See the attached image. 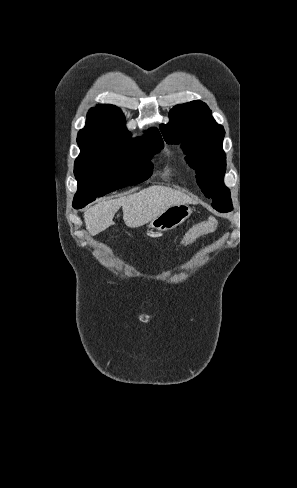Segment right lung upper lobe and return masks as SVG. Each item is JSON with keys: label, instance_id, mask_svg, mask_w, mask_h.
<instances>
[{"label": "right lung upper lobe", "instance_id": "cb5924a9", "mask_svg": "<svg viewBox=\"0 0 297 488\" xmlns=\"http://www.w3.org/2000/svg\"><path fill=\"white\" fill-rule=\"evenodd\" d=\"M86 127L79 131L77 143L79 147H91L104 139L130 137L125 126L122 111L113 105L101 104L89 110ZM161 138L157 128L148 132Z\"/></svg>", "mask_w": 297, "mask_h": 488}]
</instances>
